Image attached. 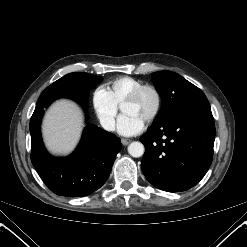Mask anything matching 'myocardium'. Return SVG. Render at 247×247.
<instances>
[{"label":"myocardium","mask_w":247,"mask_h":247,"mask_svg":"<svg viewBox=\"0 0 247 247\" xmlns=\"http://www.w3.org/2000/svg\"><path fill=\"white\" fill-rule=\"evenodd\" d=\"M146 91L152 92L154 94V97H155L154 109L151 112V114L147 117V119L145 120L146 122H152L153 120H155L158 117V115L161 111V108H162V95H161L160 90L156 86L150 85V84H143V85L139 86L134 91H132L129 94V96L124 100L122 107L125 104L135 102Z\"/></svg>","instance_id":"f54148a6"}]
</instances>
